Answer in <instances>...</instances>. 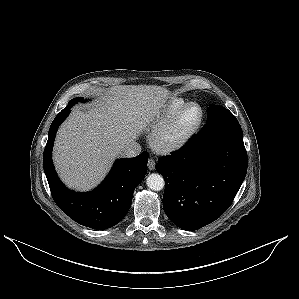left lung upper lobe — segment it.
<instances>
[{
	"mask_svg": "<svg viewBox=\"0 0 299 299\" xmlns=\"http://www.w3.org/2000/svg\"><path fill=\"white\" fill-rule=\"evenodd\" d=\"M230 111L225 109L222 106L219 105H210L207 108V124L204 126L203 129L207 128L209 125H211L215 120L220 118L221 116L229 113Z\"/></svg>",
	"mask_w": 299,
	"mask_h": 299,
	"instance_id": "left-lung-upper-lobe-1",
	"label": "left lung upper lobe"
}]
</instances>
